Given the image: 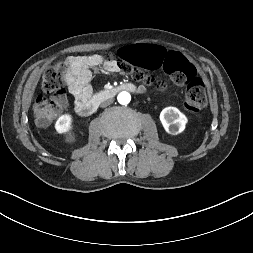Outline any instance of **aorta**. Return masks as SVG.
<instances>
[{
    "label": "aorta",
    "instance_id": "obj_1",
    "mask_svg": "<svg viewBox=\"0 0 253 253\" xmlns=\"http://www.w3.org/2000/svg\"><path fill=\"white\" fill-rule=\"evenodd\" d=\"M117 99L120 104L126 105L130 102L131 95L128 92L123 91L118 94Z\"/></svg>",
    "mask_w": 253,
    "mask_h": 253
}]
</instances>
